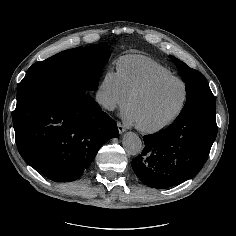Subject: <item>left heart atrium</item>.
Instances as JSON below:
<instances>
[{"label": "left heart atrium", "mask_w": 236, "mask_h": 236, "mask_svg": "<svg viewBox=\"0 0 236 236\" xmlns=\"http://www.w3.org/2000/svg\"><path fill=\"white\" fill-rule=\"evenodd\" d=\"M124 117L129 122H135V117H134V114L131 111V109H128V110L125 111Z\"/></svg>", "instance_id": "obj_1"}]
</instances>
